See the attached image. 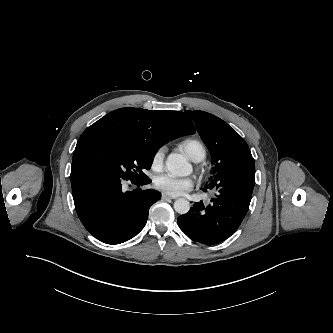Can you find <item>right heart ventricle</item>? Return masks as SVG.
Wrapping results in <instances>:
<instances>
[{
    "instance_id": "e07e8e85",
    "label": "right heart ventricle",
    "mask_w": 333,
    "mask_h": 333,
    "mask_svg": "<svg viewBox=\"0 0 333 333\" xmlns=\"http://www.w3.org/2000/svg\"><path fill=\"white\" fill-rule=\"evenodd\" d=\"M179 147L195 162L203 160L206 156V148L198 139L186 138L179 143Z\"/></svg>"
}]
</instances>
